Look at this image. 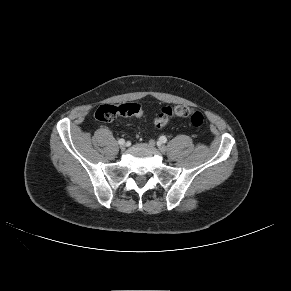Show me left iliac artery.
<instances>
[{"mask_svg":"<svg viewBox=\"0 0 291 291\" xmlns=\"http://www.w3.org/2000/svg\"><path fill=\"white\" fill-rule=\"evenodd\" d=\"M159 142H161V143H166V142H167V138H166L165 136H161V137L159 138Z\"/></svg>","mask_w":291,"mask_h":291,"instance_id":"obj_1","label":"left iliac artery"}]
</instances>
